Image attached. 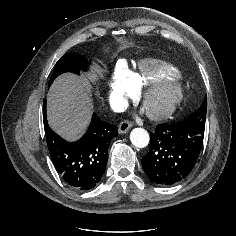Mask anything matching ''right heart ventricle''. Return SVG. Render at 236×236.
<instances>
[{
    "label": "right heart ventricle",
    "mask_w": 236,
    "mask_h": 236,
    "mask_svg": "<svg viewBox=\"0 0 236 236\" xmlns=\"http://www.w3.org/2000/svg\"><path fill=\"white\" fill-rule=\"evenodd\" d=\"M163 78H180L179 70L173 65L154 59H144L130 70V82L135 92L146 84Z\"/></svg>",
    "instance_id": "obj_1"
}]
</instances>
